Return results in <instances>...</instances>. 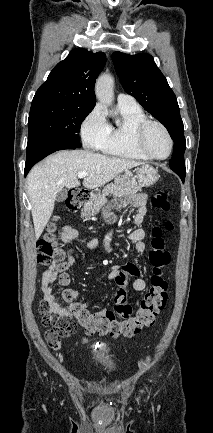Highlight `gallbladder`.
<instances>
[{
	"label": "gallbladder",
	"mask_w": 213,
	"mask_h": 433,
	"mask_svg": "<svg viewBox=\"0 0 213 433\" xmlns=\"http://www.w3.org/2000/svg\"><path fill=\"white\" fill-rule=\"evenodd\" d=\"M67 198V190L66 189H62L60 192H58L57 196H56V201L57 202H62Z\"/></svg>",
	"instance_id": "gallbladder-1"
}]
</instances>
